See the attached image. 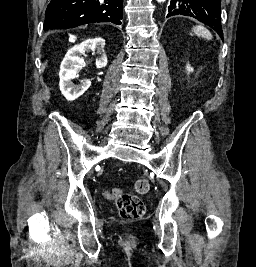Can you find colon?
I'll return each instance as SVG.
<instances>
[{"mask_svg": "<svg viewBox=\"0 0 256 267\" xmlns=\"http://www.w3.org/2000/svg\"><path fill=\"white\" fill-rule=\"evenodd\" d=\"M135 188L138 192H148L150 190V184L145 179H139L135 183ZM117 192H121V189H113V195H117ZM124 196L119 197L120 200L115 201L120 217L124 220L140 218L146 209L144 202L139 197H134L136 196L134 194Z\"/></svg>", "mask_w": 256, "mask_h": 267, "instance_id": "colon-1", "label": "colon"}]
</instances>
